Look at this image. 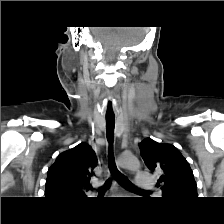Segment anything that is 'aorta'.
<instances>
[{
	"label": "aorta",
	"mask_w": 224,
	"mask_h": 224,
	"mask_svg": "<svg viewBox=\"0 0 224 224\" xmlns=\"http://www.w3.org/2000/svg\"><path fill=\"white\" fill-rule=\"evenodd\" d=\"M119 164L130 170H137L140 167V162L137 157L133 155H122L119 158Z\"/></svg>",
	"instance_id": "1"
}]
</instances>
